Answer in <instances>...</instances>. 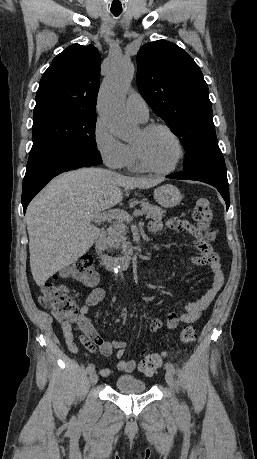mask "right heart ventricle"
<instances>
[{"instance_id": "e07e8e85", "label": "right heart ventricle", "mask_w": 257, "mask_h": 459, "mask_svg": "<svg viewBox=\"0 0 257 459\" xmlns=\"http://www.w3.org/2000/svg\"><path fill=\"white\" fill-rule=\"evenodd\" d=\"M127 146H128V159L125 164V167H127L130 171H133V172H143L144 169L142 168V166L140 165L137 159L134 145L128 144Z\"/></svg>"}]
</instances>
